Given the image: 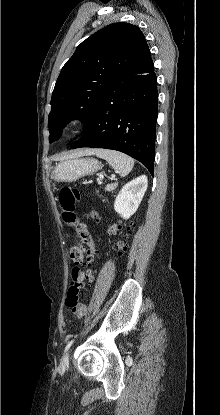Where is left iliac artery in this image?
<instances>
[{
	"label": "left iliac artery",
	"instance_id": "1",
	"mask_svg": "<svg viewBox=\"0 0 220 415\" xmlns=\"http://www.w3.org/2000/svg\"><path fill=\"white\" fill-rule=\"evenodd\" d=\"M73 343V340L72 341H70L68 344H67V346L65 347V352L70 348V346H71V344Z\"/></svg>",
	"mask_w": 220,
	"mask_h": 415
}]
</instances>
